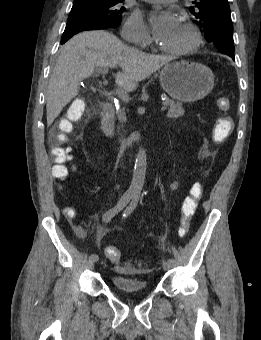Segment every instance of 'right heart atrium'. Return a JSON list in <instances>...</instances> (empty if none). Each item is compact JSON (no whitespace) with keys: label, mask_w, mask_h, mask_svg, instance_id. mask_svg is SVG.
Instances as JSON below:
<instances>
[{"label":"right heart atrium","mask_w":261,"mask_h":340,"mask_svg":"<svg viewBox=\"0 0 261 340\" xmlns=\"http://www.w3.org/2000/svg\"><path fill=\"white\" fill-rule=\"evenodd\" d=\"M121 35L124 39L141 47H148L152 42L143 19L137 12L132 13L125 21Z\"/></svg>","instance_id":"d8ad5b80"}]
</instances>
